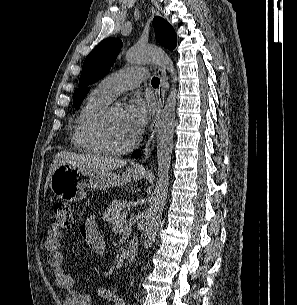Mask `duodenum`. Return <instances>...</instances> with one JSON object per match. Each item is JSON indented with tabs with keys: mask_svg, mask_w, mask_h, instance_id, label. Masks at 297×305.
I'll return each mask as SVG.
<instances>
[{
	"mask_svg": "<svg viewBox=\"0 0 297 305\" xmlns=\"http://www.w3.org/2000/svg\"><path fill=\"white\" fill-rule=\"evenodd\" d=\"M126 249L128 252L127 265L130 266L136 258L137 243L134 240L130 241Z\"/></svg>",
	"mask_w": 297,
	"mask_h": 305,
	"instance_id": "duodenum-1",
	"label": "duodenum"
}]
</instances>
